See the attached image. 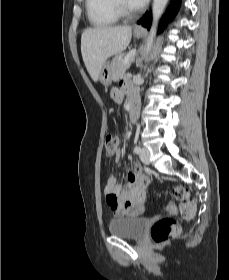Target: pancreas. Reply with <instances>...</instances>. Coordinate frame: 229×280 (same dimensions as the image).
<instances>
[{
    "label": "pancreas",
    "instance_id": "obj_1",
    "mask_svg": "<svg viewBox=\"0 0 229 280\" xmlns=\"http://www.w3.org/2000/svg\"><path fill=\"white\" fill-rule=\"evenodd\" d=\"M124 61V54H119L116 55L112 62H111V71H112V78L114 80L119 79L124 73L125 71L128 69L130 63L128 65H124L123 64ZM133 59L130 61L132 62Z\"/></svg>",
    "mask_w": 229,
    "mask_h": 280
}]
</instances>
